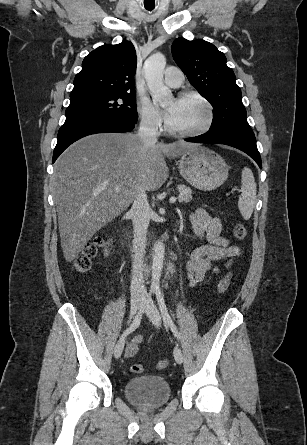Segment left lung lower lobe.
Masks as SVG:
<instances>
[{
  "label": "left lung lower lobe",
  "instance_id": "obj_1",
  "mask_svg": "<svg viewBox=\"0 0 307 445\" xmlns=\"http://www.w3.org/2000/svg\"><path fill=\"white\" fill-rule=\"evenodd\" d=\"M188 142L225 144L242 150L252 157L262 168L261 157L256 146V139L251 129L225 128L209 131L200 136L185 139Z\"/></svg>",
  "mask_w": 307,
  "mask_h": 445
}]
</instances>
